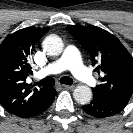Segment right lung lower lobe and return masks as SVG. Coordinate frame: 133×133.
Returning <instances> with one entry per match:
<instances>
[{
	"instance_id": "1",
	"label": "right lung lower lobe",
	"mask_w": 133,
	"mask_h": 133,
	"mask_svg": "<svg viewBox=\"0 0 133 133\" xmlns=\"http://www.w3.org/2000/svg\"><path fill=\"white\" fill-rule=\"evenodd\" d=\"M56 95V91L54 88H52V95L50 97V99L48 100V102L46 103V105H44V107L42 108V110L40 112H38L36 115H39L41 114L42 112H44L45 110L48 109V107L51 105V103L53 102L54 100V96ZM34 115V116H36Z\"/></svg>"
}]
</instances>
